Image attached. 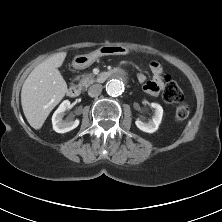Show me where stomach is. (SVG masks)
Listing matches in <instances>:
<instances>
[{"label":"stomach","instance_id":"0dacf381","mask_svg":"<svg viewBox=\"0 0 222 222\" xmlns=\"http://www.w3.org/2000/svg\"><path fill=\"white\" fill-rule=\"evenodd\" d=\"M127 53L128 49L123 46L106 45L100 47L95 52L75 56L72 60V66L75 69L82 70L92 65L97 60V58L101 56L126 55Z\"/></svg>","mask_w":222,"mask_h":222}]
</instances>
